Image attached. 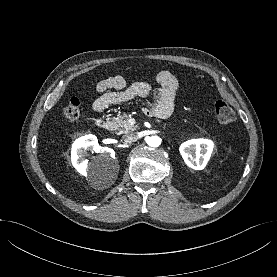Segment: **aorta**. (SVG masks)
I'll return each mask as SVG.
<instances>
[{
	"instance_id": "aorta-1",
	"label": "aorta",
	"mask_w": 277,
	"mask_h": 277,
	"mask_svg": "<svg viewBox=\"0 0 277 277\" xmlns=\"http://www.w3.org/2000/svg\"><path fill=\"white\" fill-rule=\"evenodd\" d=\"M147 144L151 147H158L161 144V139L158 136L149 137Z\"/></svg>"
}]
</instances>
